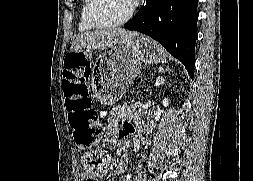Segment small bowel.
I'll list each match as a JSON object with an SVG mask.
<instances>
[{
  "label": "small bowel",
  "instance_id": "obj_1",
  "mask_svg": "<svg viewBox=\"0 0 253 181\" xmlns=\"http://www.w3.org/2000/svg\"><path fill=\"white\" fill-rule=\"evenodd\" d=\"M80 63L79 71L87 77L90 70L89 57L86 54H79ZM134 115V110L127 106L115 108L108 120L107 137L110 144H114L118 139L124 136H130L135 133V128L128 122ZM114 167L113 162H109L106 171H110ZM81 181H92L93 176L89 172H83L80 175ZM123 181H132V174L129 172L123 178Z\"/></svg>",
  "mask_w": 253,
  "mask_h": 181
}]
</instances>
